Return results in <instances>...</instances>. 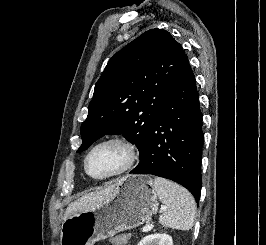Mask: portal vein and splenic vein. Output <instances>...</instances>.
<instances>
[{
	"label": "portal vein and splenic vein",
	"instance_id": "obj_1",
	"mask_svg": "<svg viewBox=\"0 0 266 245\" xmlns=\"http://www.w3.org/2000/svg\"><path fill=\"white\" fill-rule=\"evenodd\" d=\"M164 209H167V207H161V211H164ZM154 225H146V227H144L143 229V233H145V231H151V229H153Z\"/></svg>",
	"mask_w": 266,
	"mask_h": 245
}]
</instances>
